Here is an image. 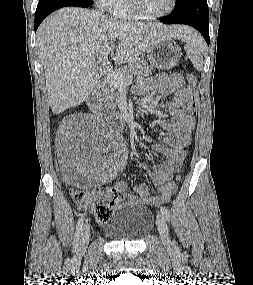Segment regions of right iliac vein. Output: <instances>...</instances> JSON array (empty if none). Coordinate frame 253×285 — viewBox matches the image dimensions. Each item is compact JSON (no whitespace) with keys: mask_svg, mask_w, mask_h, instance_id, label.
I'll list each match as a JSON object with an SVG mask.
<instances>
[{"mask_svg":"<svg viewBox=\"0 0 253 285\" xmlns=\"http://www.w3.org/2000/svg\"><path fill=\"white\" fill-rule=\"evenodd\" d=\"M89 238H90V226L88 224H85L82 228L80 240L77 246V252L79 254L83 253L86 250L87 245L89 243Z\"/></svg>","mask_w":253,"mask_h":285,"instance_id":"1","label":"right iliac vein"}]
</instances>
